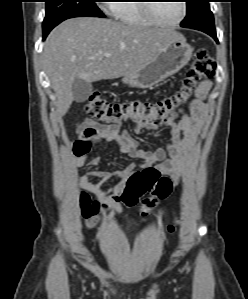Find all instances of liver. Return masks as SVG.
Instances as JSON below:
<instances>
[{
  "label": "liver",
  "mask_w": 248,
  "mask_h": 299,
  "mask_svg": "<svg viewBox=\"0 0 248 299\" xmlns=\"http://www.w3.org/2000/svg\"><path fill=\"white\" fill-rule=\"evenodd\" d=\"M175 39L185 38L173 29L105 18L78 17L62 22L50 32L43 50L44 67L56 95V114L62 117L70 108L76 78L91 83L135 73Z\"/></svg>",
  "instance_id": "obj_1"
}]
</instances>
